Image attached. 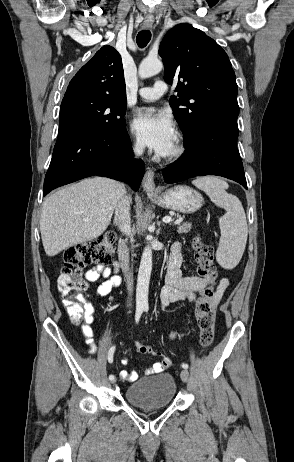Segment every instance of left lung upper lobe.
I'll return each mask as SVG.
<instances>
[{"label":"left lung upper lobe","mask_w":294,"mask_h":462,"mask_svg":"<svg viewBox=\"0 0 294 462\" xmlns=\"http://www.w3.org/2000/svg\"><path fill=\"white\" fill-rule=\"evenodd\" d=\"M159 54L165 66L164 79L178 81L177 96L170 106L185 139L221 107H238L235 73L226 52L210 37L189 24H179L163 38ZM179 106H183L179 108Z\"/></svg>","instance_id":"left-lung-upper-lobe-1"}]
</instances>
